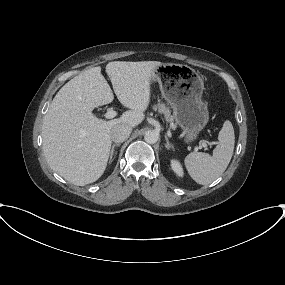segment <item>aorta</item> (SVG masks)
Listing matches in <instances>:
<instances>
[{"label": "aorta", "instance_id": "762f6f07", "mask_svg": "<svg viewBox=\"0 0 285 285\" xmlns=\"http://www.w3.org/2000/svg\"><path fill=\"white\" fill-rule=\"evenodd\" d=\"M144 139L147 143L154 144L158 141V134L153 130H149L145 133Z\"/></svg>", "mask_w": 285, "mask_h": 285}]
</instances>
